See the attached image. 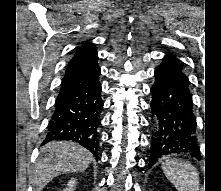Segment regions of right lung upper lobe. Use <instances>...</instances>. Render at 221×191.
<instances>
[{
	"mask_svg": "<svg viewBox=\"0 0 221 191\" xmlns=\"http://www.w3.org/2000/svg\"><path fill=\"white\" fill-rule=\"evenodd\" d=\"M94 52H96V51L94 50L93 44H89L86 47H82L81 49H79L73 58H76V57H79V56L85 55V54H91Z\"/></svg>",
	"mask_w": 221,
	"mask_h": 191,
	"instance_id": "1",
	"label": "right lung upper lobe"
}]
</instances>
